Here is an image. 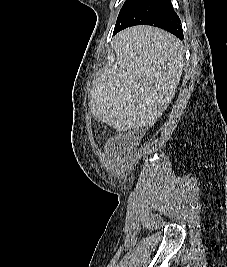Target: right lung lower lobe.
<instances>
[{"mask_svg":"<svg viewBox=\"0 0 227 267\" xmlns=\"http://www.w3.org/2000/svg\"><path fill=\"white\" fill-rule=\"evenodd\" d=\"M154 25L183 39L180 19L175 13L171 0H127L124 3L114 34L134 25Z\"/></svg>","mask_w":227,"mask_h":267,"instance_id":"98d812e1","label":"right lung lower lobe"}]
</instances>
